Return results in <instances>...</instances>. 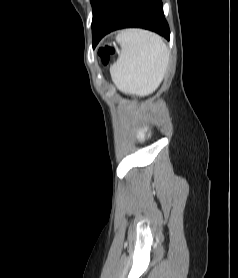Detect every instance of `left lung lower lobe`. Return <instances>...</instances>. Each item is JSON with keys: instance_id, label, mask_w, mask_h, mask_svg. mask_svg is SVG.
I'll return each mask as SVG.
<instances>
[{"instance_id": "left-lung-lower-lobe-1", "label": "left lung lower lobe", "mask_w": 238, "mask_h": 278, "mask_svg": "<svg viewBox=\"0 0 238 278\" xmlns=\"http://www.w3.org/2000/svg\"><path fill=\"white\" fill-rule=\"evenodd\" d=\"M129 27L148 29L170 39L161 0L96 1L92 19L93 47L109 32Z\"/></svg>"}]
</instances>
